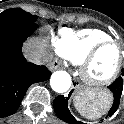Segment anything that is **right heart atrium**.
Returning a JSON list of instances; mask_svg holds the SVG:
<instances>
[{
    "label": "right heart atrium",
    "instance_id": "d8ad5b80",
    "mask_svg": "<svg viewBox=\"0 0 124 124\" xmlns=\"http://www.w3.org/2000/svg\"><path fill=\"white\" fill-rule=\"evenodd\" d=\"M51 46H52L54 52H55L56 54H58L57 48H56V38H55V37L52 38ZM58 55H59V54H58Z\"/></svg>",
    "mask_w": 124,
    "mask_h": 124
}]
</instances>
